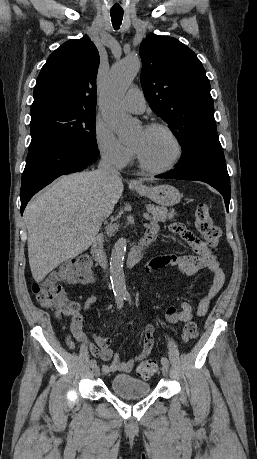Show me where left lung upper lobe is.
<instances>
[{"instance_id": "obj_1", "label": "left lung upper lobe", "mask_w": 257, "mask_h": 459, "mask_svg": "<svg viewBox=\"0 0 257 459\" xmlns=\"http://www.w3.org/2000/svg\"><path fill=\"white\" fill-rule=\"evenodd\" d=\"M141 86L151 109L171 128L184 156H195L202 134L216 130L210 82L196 54L179 40L150 35L140 45Z\"/></svg>"}]
</instances>
